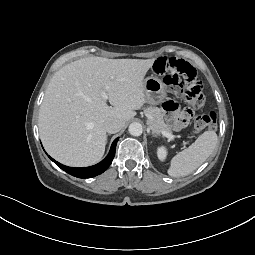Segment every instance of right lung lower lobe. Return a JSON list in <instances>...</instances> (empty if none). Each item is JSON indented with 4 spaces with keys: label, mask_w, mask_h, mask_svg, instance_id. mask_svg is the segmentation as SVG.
I'll return each instance as SVG.
<instances>
[{
    "label": "right lung lower lobe",
    "mask_w": 255,
    "mask_h": 255,
    "mask_svg": "<svg viewBox=\"0 0 255 255\" xmlns=\"http://www.w3.org/2000/svg\"><path fill=\"white\" fill-rule=\"evenodd\" d=\"M119 138H116L114 142L112 143L111 149L107 157L102 160L100 163L90 166V167H85V168H73V167H68L65 165L60 164L59 162L55 161L53 158L49 156V158L62 170L66 171L72 176L78 177V178H91L94 176H97L101 173H103L112 163V160L115 156V148L116 144Z\"/></svg>",
    "instance_id": "obj_1"
}]
</instances>
